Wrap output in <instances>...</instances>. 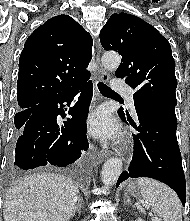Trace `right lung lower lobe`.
<instances>
[{"mask_svg": "<svg viewBox=\"0 0 190 221\" xmlns=\"http://www.w3.org/2000/svg\"><path fill=\"white\" fill-rule=\"evenodd\" d=\"M79 91H82L81 96L69 111L72 118L60 126L57 116L65 117L63 103L70 104ZM92 93V82L87 81L74 90L61 92L40 102L19 131L11 166L23 170L46 165L65 167L80 158L81 152L89 147L85 121Z\"/></svg>", "mask_w": 190, "mask_h": 221, "instance_id": "obj_1", "label": "right lung lower lobe"}]
</instances>
